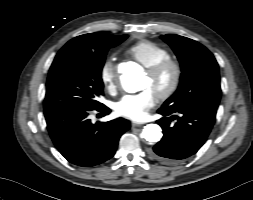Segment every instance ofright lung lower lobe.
I'll list each match as a JSON object with an SVG mask.
<instances>
[{"instance_id":"98d812e1","label":"right lung lower lobe","mask_w":253,"mask_h":200,"mask_svg":"<svg viewBox=\"0 0 253 200\" xmlns=\"http://www.w3.org/2000/svg\"><path fill=\"white\" fill-rule=\"evenodd\" d=\"M93 110L104 115L110 113L105 105L95 109L63 107L44 111L48 131L58 151L69 162L82 167L110 159L119 138L130 128V123L123 118L93 124L88 118Z\"/></svg>"}]
</instances>
